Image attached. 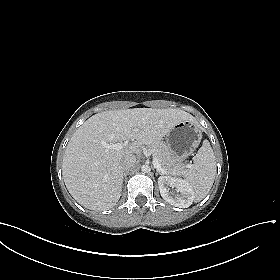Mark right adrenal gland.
Segmentation results:
<instances>
[{
  "mask_svg": "<svg viewBox=\"0 0 280 280\" xmlns=\"http://www.w3.org/2000/svg\"><path fill=\"white\" fill-rule=\"evenodd\" d=\"M127 175H128V171H127V172H124V174H123V179H126Z\"/></svg>",
  "mask_w": 280,
  "mask_h": 280,
  "instance_id": "obj_1",
  "label": "right adrenal gland"
}]
</instances>
